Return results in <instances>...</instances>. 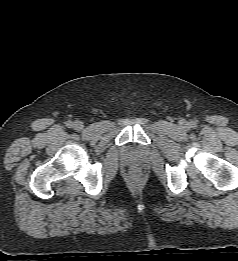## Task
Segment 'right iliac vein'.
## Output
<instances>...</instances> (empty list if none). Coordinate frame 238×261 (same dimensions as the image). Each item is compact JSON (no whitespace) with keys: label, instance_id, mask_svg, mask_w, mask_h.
<instances>
[{"label":"right iliac vein","instance_id":"63e3f726","mask_svg":"<svg viewBox=\"0 0 238 261\" xmlns=\"http://www.w3.org/2000/svg\"><path fill=\"white\" fill-rule=\"evenodd\" d=\"M73 127L75 130L80 131L84 128V124L82 121H75Z\"/></svg>","mask_w":238,"mask_h":261}]
</instances>
